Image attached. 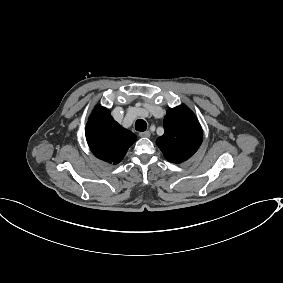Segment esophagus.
I'll list each match as a JSON object with an SVG mask.
<instances>
[{
    "label": "esophagus",
    "instance_id": "34e87169",
    "mask_svg": "<svg viewBox=\"0 0 283 283\" xmlns=\"http://www.w3.org/2000/svg\"><path fill=\"white\" fill-rule=\"evenodd\" d=\"M140 137H150V132L149 131H144L139 133Z\"/></svg>",
    "mask_w": 283,
    "mask_h": 283
}]
</instances>
